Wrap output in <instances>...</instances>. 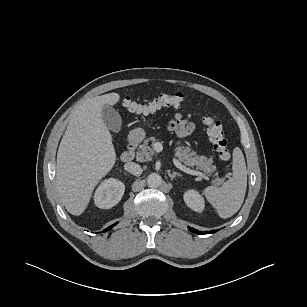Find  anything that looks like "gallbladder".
Instances as JSON below:
<instances>
[{
    "label": "gallbladder",
    "mask_w": 307,
    "mask_h": 307,
    "mask_svg": "<svg viewBox=\"0 0 307 307\" xmlns=\"http://www.w3.org/2000/svg\"><path fill=\"white\" fill-rule=\"evenodd\" d=\"M102 119L105 125L113 132L118 133L121 130L122 120L120 114L108 104L102 108Z\"/></svg>",
    "instance_id": "obj_1"
}]
</instances>
